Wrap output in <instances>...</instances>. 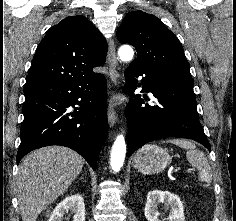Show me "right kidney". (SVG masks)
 <instances>
[{"label":"right kidney","instance_id":"obj_1","mask_svg":"<svg viewBox=\"0 0 236 221\" xmlns=\"http://www.w3.org/2000/svg\"><path fill=\"white\" fill-rule=\"evenodd\" d=\"M74 213L73 221H85L84 199L80 194H73L63 199L53 210L48 221H62L63 216Z\"/></svg>","mask_w":236,"mask_h":221}]
</instances>
